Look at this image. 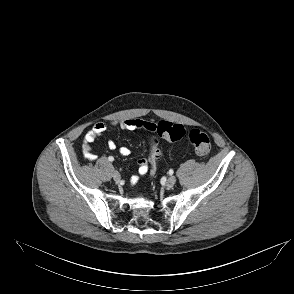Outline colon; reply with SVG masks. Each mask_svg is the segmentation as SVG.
I'll return each instance as SVG.
<instances>
[{
	"label": "colon",
	"instance_id": "colon-1",
	"mask_svg": "<svg viewBox=\"0 0 294 294\" xmlns=\"http://www.w3.org/2000/svg\"><path fill=\"white\" fill-rule=\"evenodd\" d=\"M143 130L148 133H157L159 136L164 137L171 142L179 141L187 136L195 153L200 157L208 156L211 151V142L208 135L198 129L187 131L179 124L160 121L157 124L150 122L144 123ZM158 157L159 151L155 146L154 139L151 138L147 160L152 173L156 172Z\"/></svg>",
	"mask_w": 294,
	"mask_h": 294
}]
</instances>
